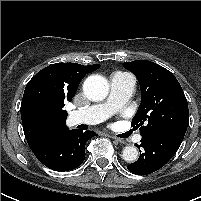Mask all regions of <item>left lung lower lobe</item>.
Instances as JSON below:
<instances>
[{
    "label": "left lung lower lobe",
    "mask_w": 201,
    "mask_h": 201,
    "mask_svg": "<svg viewBox=\"0 0 201 201\" xmlns=\"http://www.w3.org/2000/svg\"><path fill=\"white\" fill-rule=\"evenodd\" d=\"M185 133L177 131L158 132L142 137L139 159L130 164L129 171L138 175L151 174L162 168L180 147Z\"/></svg>",
    "instance_id": "1"
}]
</instances>
